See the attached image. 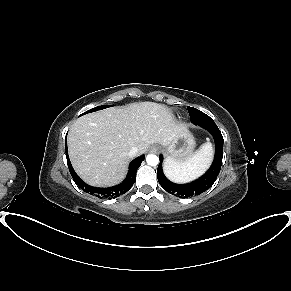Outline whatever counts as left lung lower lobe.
<instances>
[{"label": "left lung lower lobe", "instance_id": "1", "mask_svg": "<svg viewBox=\"0 0 291 291\" xmlns=\"http://www.w3.org/2000/svg\"><path fill=\"white\" fill-rule=\"evenodd\" d=\"M191 122L209 131L215 140V156L210 169L199 179L184 185L174 184L164 176L162 170V155L159 156L160 164L157 169V178L162 188L172 195L178 193V197L182 198L199 195L210 188L220 172L223 158V136L214 120L200 111Z\"/></svg>", "mask_w": 291, "mask_h": 291}]
</instances>
